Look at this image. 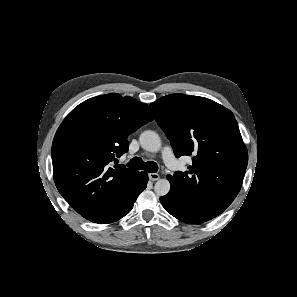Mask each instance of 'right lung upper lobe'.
<instances>
[{
	"instance_id": "right-lung-upper-lobe-1",
	"label": "right lung upper lobe",
	"mask_w": 297,
	"mask_h": 297,
	"mask_svg": "<svg viewBox=\"0 0 297 297\" xmlns=\"http://www.w3.org/2000/svg\"><path fill=\"white\" fill-rule=\"evenodd\" d=\"M152 120L147 104L118 93L90 98L63 120L52 143L54 181L85 219H98L138 172L114 163L128 135Z\"/></svg>"
}]
</instances>
